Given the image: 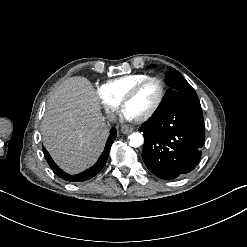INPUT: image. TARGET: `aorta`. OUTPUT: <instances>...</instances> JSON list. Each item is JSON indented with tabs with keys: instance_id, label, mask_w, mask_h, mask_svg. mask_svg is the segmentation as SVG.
<instances>
[{
	"instance_id": "1",
	"label": "aorta",
	"mask_w": 247,
	"mask_h": 247,
	"mask_svg": "<svg viewBox=\"0 0 247 247\" xmlns=\"http://www.w3.org/2000/svg\"><path fill=\"white\" fill-rule=\"evenodd\" d=\"M128 138L129 145L134 148L141 146L144 142L143 135L139 132L132 133Z\"/></svg>"
}]
</instances>
